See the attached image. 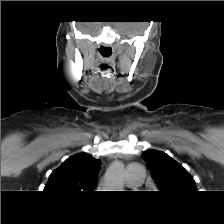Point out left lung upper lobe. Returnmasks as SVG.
<instances>
[{"instance_id":"left-lung-upper-lobe-1","label":"left lung upper lobe","mask_w":224,"mask_h":224,"mask_svg":"<svg viewBox=\"0 0 224 224\" xmlns=\"http://www.w3.org/2000/svg\"><path fill=\"white\" fill-rule=\"evenodd\" d=\"M141 156L148 164L152 177L161 193L179 196L197 192L193 177L181 164L166 153L149 150L145 151Z\"/></svg>"}]
</instances>
